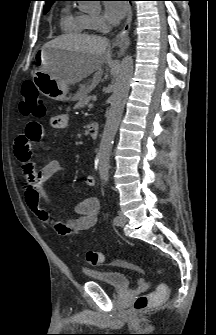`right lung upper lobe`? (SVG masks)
I'll use <instances>...</instances> for the list:
<instances>
[{
  "instance_id": "1",
  "label": "right lung upper lobe",
  "mask_w": 216,
  "mask_h": 335,
  "mask_svg": "<svg viewBox=\"0 0 216 335\" xmlns=\"http://www.w3.org/2000/svg\"><path fill=\"white\" fill-rule=\"evenodd\" d=\"M54 1H56V0H45L46 5H51Z\"/></svg>"
}]
</instances>
